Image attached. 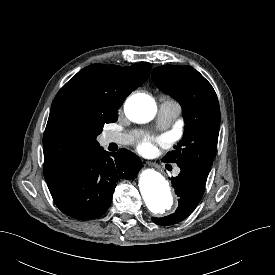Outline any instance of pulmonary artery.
<instances>
[{"label":"pulmonary artery","instance_id":"e3ab8cb5","mask_svg":"<svg viewBox=\"0 0 275 275\" xmlns=\"http://www.w3.org/2000/svg\"><path fill=\"white\" fill-rule=\"evenodd\" d=\"M180 106L173 102L164 100L159 107L158 117H157V124L159 128H167L169 127L179 116L180 114ZM131 141V138L123 133L118 132H110L107 133L105 136V142L109 143H116V144H128ZM180 169L177 168L174 171L175 175H178Z\"/></svg>","mask_w":275,"mask_h":275}]
</instances>
